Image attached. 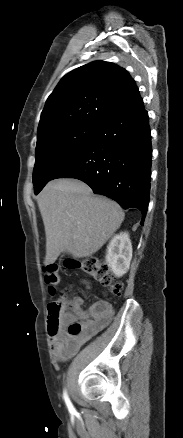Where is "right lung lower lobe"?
<instances>
[{"instance_id":"obj_1","label":"right lung lower lobe","mask_w":183,"mask_h":438,"mask_svg":"<svg viewBox=\"0 0 183 438\" xmlns=\"http://www.w3.org/2000/svg\"><path fill=\"white\" fill-rule=\"evenodd\" d=\"M151 135L143 101L97 125L87 145L53 179L76 178L95 194L137 208L143 224L151 180Z\"/></svg>"}]
</instances>
